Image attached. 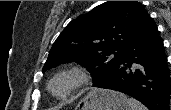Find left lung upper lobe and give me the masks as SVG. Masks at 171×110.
Returning <instances> with one entry per match:
<instances>
[{
    "mask_svg": "<svg viewBox=\"0 0 171 110\" xmlns=\"http://www.w3.org/2000/svg\"><path fill=\"white\" fill-rule=\"evenodd\" d=\"M150 16L137 1H107L72 20L54 42L42 69L75 61L91 73L94 85L116 68Z\"/></svg>",
    "mask_w": 171,
    "mask_h": 110,
    "instance_id": "5c2ea615",
    "label": "left lung upper lobe"
}]
</instances>
